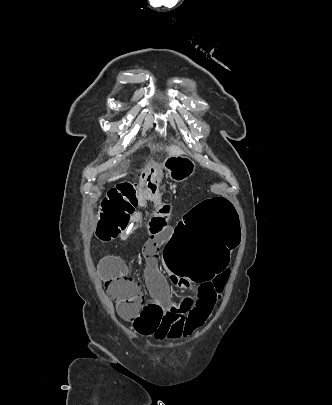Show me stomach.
I'll return each instance as SVG.
<instances>
[{
	"label": "stomach",
	"mask_w": 332,
	"mask_h": 405,
	"mask_svg": "<svg viewBox=\"0 0 332 405\" xmlns=\"http://www.w3.org/2000/svg\"><path fill=\"white\" fill-rule=\"evenodd\" d=\"M163 168L171 180L182 182L195 173L196 166L187 156L171 155L165 159Z\"/></svg>",
	"instance_id": "1"
}]
</instances>
